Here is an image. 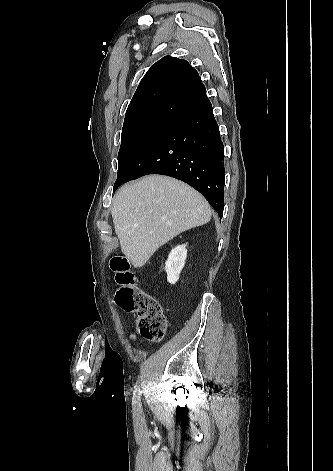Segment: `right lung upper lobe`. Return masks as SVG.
Wrapping results in <instances>:
<instances>
[{"label": "right lung upper lobe", "instance_id": "right-lung-upper-lobe-1", "mask_svg": "<svg viewBox=\"0 0 333 471\" xmlns=\"http://www.w3.org/2000/svg\"><path fill=\"white\" fill-rule=\"evenodd\" d=\"M204 96L197 71L186 60L166 56L141 80L125 118L147 114L177 118Z\"/></svg>", "mask_w": 333, "mask_h": 471}]
</instances>
